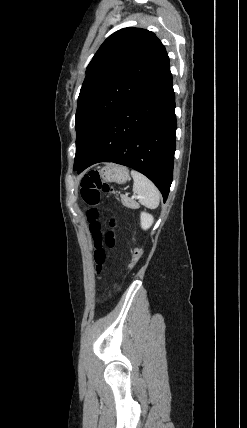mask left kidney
<instances>
[{
    "label": "left kidney",
    "mask_w": 247,
    "mask_h": 428,
    "mask_svg": "<svg viewBox=\"0 0 247 428\" xmlns=\"http://www.w3.org/2000/svg\"><path fill=\"white\" fill-rule=\"evenodd\" d=\"M141 227L144 230H147L153 223V216L146 212H141L140 215Z\"/></svg>",
    "instance_id": "obj_1"
}]
</instances>
